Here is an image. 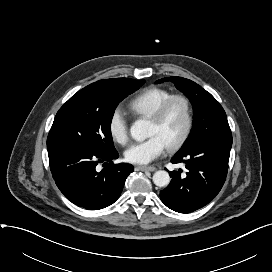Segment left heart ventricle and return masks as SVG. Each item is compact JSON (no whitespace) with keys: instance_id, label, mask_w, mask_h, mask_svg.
<instances>
[{"instance_id":"b2bd125f","label":"left heart ventricle","mask_w":272,"mask_h":272,"mask_svg":"<svg viewBox=\"0 0 272 272\" xmlns=\"http://www.w3.org/2000/svg\"><path fill=\"white\" fill-rule=\"evenodd\" d=\"M185 125V110L181 102H174L159 122L149 120L148 136L159 135L164 142L170 145L176 140Z\"/></svg>"}]
</instances>
